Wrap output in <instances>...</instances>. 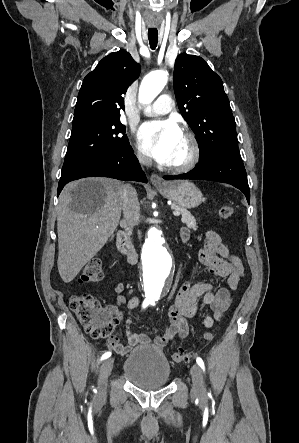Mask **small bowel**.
Instances as JSON below:
<instances>
[{"instance_id":"1","label":"small bowel","mask_w":299,"mask_h":443,"mask_svg":"<svg viewBox=\"0 0 299 443\" xmlns=\"http://www.w3.org/2000/svg\"><path fill=\"white\" fill-rule=\"evenodd\" d=\"M181 238L186 241L189 238L187 228L181 229ZM199 261L206 270L220 278L227 279V287H220L216 292L212 290L209 283H195L187 281L178 289L174 303L168 309V322L165 324L162 335H157L153 339L145 333H135L131 330L132 320L125 319V335L127 342H121V333H116L109 340V348L120 355L127 354L132 347L139 345H153L162 348L170 343L174 338H185L188 335L189 327L187 318L197 315L200 299L211 309L212 314L207 315L204 326L211 328L215 321H219L228 310L232 295L231 291L238 289L241 280L245 277L246 271L242 261L221 242L219 235L214 231H207L205 243L198 253ZM124 284L119 283L113 289L118 305L126 304L129 312L138 308L140 299L133 296L126 299L123 295ZM110 310L122 319V313L116 306Z\"/></svg>"}]
</instances>
